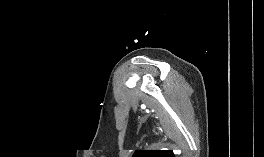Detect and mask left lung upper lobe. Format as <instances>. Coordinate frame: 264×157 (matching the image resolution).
Returning <instances> with one entry per match:
<instances>
[{
  "instance_id": "obj_1",
  "label": "left lung upper lobe",
  "mask_w": 264,
  "mask_h": 157,
  "mask_svg": "<svg viewBox=\"0 0 264 157\" xmlns=\"http://www.w3.org/2000/svg\"><path fill=\"white\" fill-rule=\"evenodd\" d=\"M133 157H175L170 150H137Z\"/></svg>"
}]
</instances>
